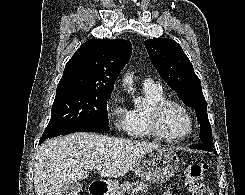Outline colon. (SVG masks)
<instances>
[{"mask_svg":"<svg viewBox=\"0 0 245 195\" xmlns=\"http://www.w3.org/2000/svg\"><path fill=\"white\" fill-rule=\"evenodd\" d=\"M208 164L201 162L190 165L186 170V186L191 195H214L204 181Z\"/></svg>","mask_w":245,"mask_h":195,"instance_id":"1","label":"colon"}]
</instances>
